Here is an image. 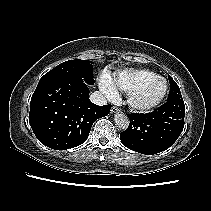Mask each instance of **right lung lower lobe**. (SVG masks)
I'll return each mask as SVG.
<instances>
[{
  "instance_id": "obj_1",
  "label": "right lung lower lobe",
  "mask_w": 211,
  "mask_h": 211,
  "mask_svg": "<svg viewBox=\"0 0 211 211\" xmlns=\"http://www.w3.org/2000/svg\"><path fill=\"white\" fill-rule=\"evenodd\" d=\"M88 82L69 76L37 85L30 103L29 123L47 147L66 150L81 145L95 120L107 116L111 105L89 100Z\"/></svg>"
}]
</instances>
